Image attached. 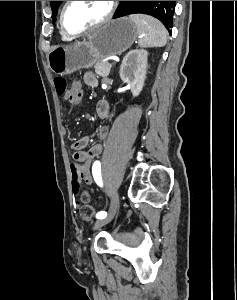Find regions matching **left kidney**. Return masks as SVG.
Instances as JSON below:
<instances>
[{
	"label": "left kidney",
	"mask_w": 237,
	"mask_h": 300,
	"mask_svg": "<svg viewBox=\"0 0 237 300\" xmlns=\"http://www.w3.org/2000/svg\"><path fill=\"white\" fill-rule=\"evenodd\" d=\"M148 53L145 49L129 51L120 67V79L127 83L133 97L140 95L146 79Z\"/></svg>",
	"instance_id": "1"
}]
</instances>
